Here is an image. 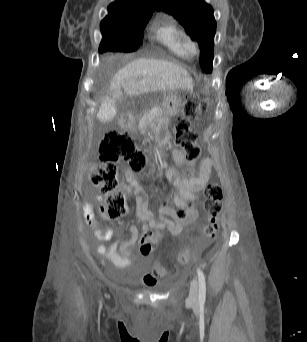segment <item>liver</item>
Returning <instances> with one entry per match:
<instances>
[{
    "mask_svg": "<svg viewBox=\"0 0 307 342\" xmlns=\"http://www.w3.org/2000/svg\"><path fill=\"white\" fill-rule=\"evenodd\" d=\"M139 96L160 90H193V80L185 68L168 60L140 58L116 72L110 82V95Z\"/></svg>",
    "mask_w": 307,
    "mask_h": 342,
    "instance_id": "liver-1",
    "label": "liver"
}]
</instances>
